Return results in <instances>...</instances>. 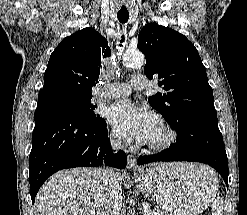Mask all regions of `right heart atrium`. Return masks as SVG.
I'll list each match as a JSON object with an SVG mask.
<instances>
[{
	"mask_svg": "<svg viewBox=\"0 0 247 215\" xmlns=\"http://www.w3.org/2000/svg\"><path fill=\"white\" fill-rule=\"evenodd\" d=\"M110 142L115 147H120L122 145L121 138L114 132L109 134Z\"/></svg>",
	"mask_w": 247,
	"mask_h": 215,
	"instance_id": "d8ad5b80",
	"label": "right heart atrium"
}]
</instances>
